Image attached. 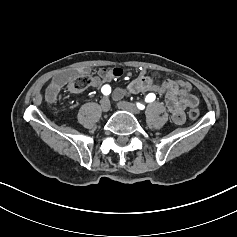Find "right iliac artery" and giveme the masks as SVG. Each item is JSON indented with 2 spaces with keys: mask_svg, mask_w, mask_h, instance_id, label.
Instances as JSON below:
<instances>
[{
  "mask_svg": "<svg viewBox=\"0 0 237 237\" xmlns=\"http://www.w3.org/2000/svg\"><path fill=\"white\" fill-rule=\"evenodd\" d=\"M101 91L104 95H109L111 93V87L109 85H104Z\"/></svg>",
  "mask_w": 237,
  "mask_h": 237,
  "instance_id": "obj_1",
  "label": "right iliac artery"
}]
</instances>
